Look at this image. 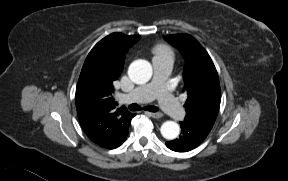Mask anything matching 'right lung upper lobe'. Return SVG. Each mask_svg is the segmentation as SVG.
I'll list each match as a JSON object with an SVG mask.
<instances>
[{
  "instance_id": "obj_1",
  "label": "right lung upper lobe",
  "mask_w": 288,
  "mask_h": 181,
  "mask_svg": "<svg viewBox=\"0 0 288 181\" xmlns=\"http://www.w3.org/2000/svg\"><path fill=\"white\" fill-rule=\"evenodd\" d=\"M139 39L112 33L99 41L88 54L76 87L81 126L94 143L108 149L120 146L135 116L126 108H115L112 84L122 73L126 52Z\"/></svg>"
}]
</instances>
